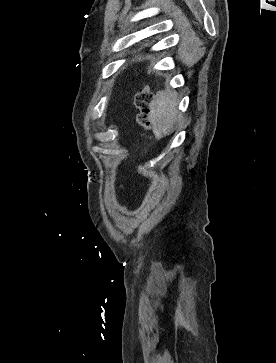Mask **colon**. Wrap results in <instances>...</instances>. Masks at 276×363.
<instances>
[{
  "label": "colon",
  "instance_id": "obj_1",
  "mask_svg": "<svg viewBox=\"0 0 276 363\" xmlns=\"http://www.w3.org/2000/svg\"><path fill=\"white\" fill-rule=\"evenodd\" d=\"M152 93L148 86H142L135 94V106L138 109L137 123L144 129L150 127V104Z\"/></svg>",
  "mask_w": 276,
  "mask_h": 363
}]
</instances>
